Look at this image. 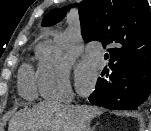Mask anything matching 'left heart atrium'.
Here are the masks:
<instances>
[{"instance_id": "obj_1", "label": "left heart atrium", "mask_w": 151, "mask_h": 131, "mask_svg": "<svg viewBox=\"0 0 151 131\" xmlns=\"http://www.w3.org/2000/svg\"><path fill=\"white\" fill-rule=\"evenodd\" d=\"M76 82L80 91L87 92L94 83V74L85 65H80L76 72Z\"/></svg>"}]
</instances>
